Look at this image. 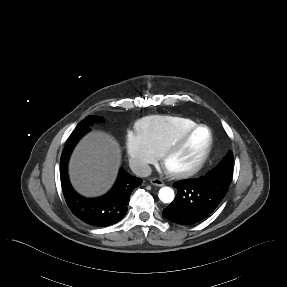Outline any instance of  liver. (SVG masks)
<instances>
[{
  "label": "liver",
  "instance_id": "liver-1",
  "mask_svg": "<svg viewBox=\"0 0 287 287\" xmlns=\"http://www.w3.org/2000/svg\"><path fill=\"white\" fill-rule=\"evenodd\" d=\"M120 162L118 142L107 133L93 131L73 151L69 163L71 183L84 196L101 195L114 183Z\"/></svg>",
  "mask_w": 287,
  "mask_h": 287
}]
</instances>
